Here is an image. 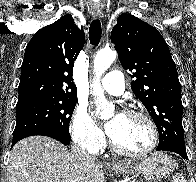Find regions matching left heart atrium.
Returning <instances> with one entry per match:
<instances>
[{
  "label": "left heart atrium",
  "instance_id": "1",
  "mask_svg": "<svg viewBox=\"0 0 196 182\" xmlns=\"http://www.w3.org/2000/svg\"><path fill=\"white\" fill-rule=\"evenodd\" d=\"M123 122H124V115L123 114L117 115L114 120L110 121L106 126V130H107L108 135L113 138L118 133Z\"/></svg>",
  "mask_w": 196,
  "mask_h": 182
}]
</instances>
